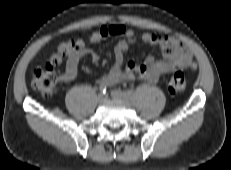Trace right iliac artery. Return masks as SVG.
<instances>
[{"mask_svg":"<svg viewBox=\"0 0 231 170\" xmlns=\"http://www.w3.org/2000/svg\"><path fill=\"white\" fill-rule=\"evenodd\" d=\"M99 88H100L101 93L106 94V92H107V87H106L105 85H100Z\"/></svg>","mask_w":231,"mask_h":170,"instance_id":"obj_1","label":"right iliac artery"}]
</instances>
